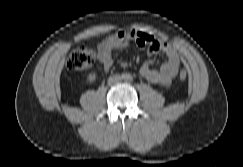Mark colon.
<instances>
[{
  "mask_svg": "<svg viewBox=\"0 0 243 167\" xmlns=\"http://www.w3.org/2000/svg\"><path fill=\"white\" fill-rule=\"evenodd\" d=\"M116 35L112 36L115 37ZM95 52L91 47L82 46L73 51L67 59V67L71 71L80 72L89 68L95 61ZM187 73L180 71L179 80L185 81Z\"/></svg>",
  "mask_w": 243,
  "mask_h": 167,
  "instance_id": "1",
  "label": "colon"
}]
</instances>
